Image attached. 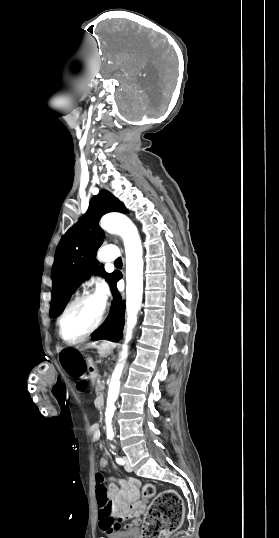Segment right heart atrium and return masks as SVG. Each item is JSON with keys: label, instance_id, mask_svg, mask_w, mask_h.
Listing matches in <instances>:
<instances>
[{"label": "right heart atrium", "instance_id": "1", "mask_svg": "<svg viewBox=\"0 0 279 538\" xmlns=\"http://www.w3.org/2000/svg\"><path fill=\"white\" fill-rule=\"evenodd\" d=\"M109 232L112 233V234H115V235H118V236H122L121 233L117 232L116 230H114L113 228H109ZM131 242H133V239L130 238Z\"/></svg>", "mask_w": 279, "mask_h": 538}]
</instances>
